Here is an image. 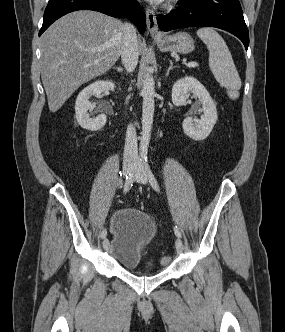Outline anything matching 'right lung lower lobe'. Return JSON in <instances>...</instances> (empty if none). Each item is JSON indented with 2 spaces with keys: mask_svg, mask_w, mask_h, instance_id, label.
Here are the masks:
<instances>
[{
  "mask_svg": "<svg viewBox=\"0 0 285 332\" xmlns=\"http://www.w3.org/2000/svg\"><path fill=\"white\" fill-rule=\"evenodd\" d=\"M82 9L99 11L113 17H126L140 32L146 29V16L135 0H49L39 36L58 18Z\"/></svg>",
  "mask_w": 285,
  "mask_h": 332,
  "instance_id": "right-lung-lower-lobe-1",
  "label": "right lung lower lobe"
}]
</instances>
